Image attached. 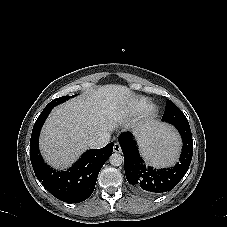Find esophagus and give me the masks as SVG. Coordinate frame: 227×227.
Wrapping results in <instances>:
<instances>
[{
	"instance_id": "1",
	"label": "esophagus",
	"mask_w": 227,
	"mask_h": 227,
	"mask_svg": "<svg viewBox=\"0 0 227 227\" xmlns=\"http://www.w3.org/2000/svg\"><path fill=\"white\" fill-rule=\"evenodd\" d=\"M113 150H114V152H116V153H120V152H121V146H120V144L116 142V143L114 144Z\"/></svg>"
}]
</instances>
